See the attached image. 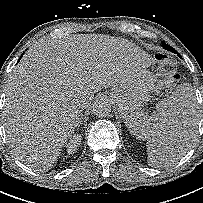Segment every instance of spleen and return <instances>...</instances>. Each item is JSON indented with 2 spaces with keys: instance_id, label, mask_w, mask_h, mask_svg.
<instances>
[{
  "instance_id": "spleen-1",
  "label": "spleen",
  "mask_w": 203,
  "mask_h": 203,
  "mask_svg": "<svg viewBox=\"0 0 203 203\" xmlns=\"http://www.w3.org/2000/svg\"><path fill=\"white\" fill-rule=\"evenodd\" d=\"M196 99L192 87L182 83L169 98L161 100L148 117L134 112L125 123L138 139L147 140L148 161L154 166H169L177 162L192 146L197 131ZM177 126L186 135L182 145L162 135V130ZM181 135V133H179Z\"/></svg>"
}]
</instances>
